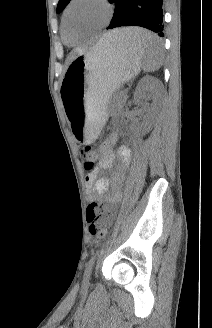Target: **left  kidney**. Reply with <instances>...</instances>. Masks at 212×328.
I'll return each instance as SVG.
<instances>
[{
    "mask_svg": "<svg viewBox=\"0 0 212 328\" xmlns=\"http://www.w3.org/2000/svg\"><path fill=\"white\" fill-rule=\"evenodd\" d=\"M159 89H160V82L154 77L146 76L143 79H141V81L138 83L134 93V98L136 102H139L141 99L145 97L146 94H151L153 95L154 99H156ZM155 115H156V107L155 105H153L147 110L146 120L142 122L137 128L140 133L145 134L150 131L154 123Z\"/></svg>",
    "mask_w": 212,
    "mask_h": 328,
    "instance_id": "5707ae66",
    "label": "left kidney"
}]
</instances>
